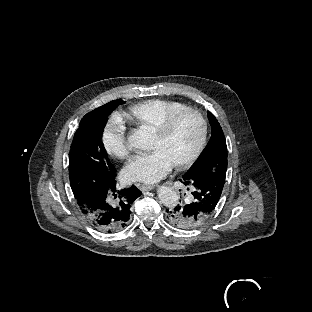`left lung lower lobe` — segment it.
<instances>
[{
    "mask_svg": "<svg viewBox=\"0 0 312 312\" xmlns=\"http://www.w3.org/2000/svg\"><path fill=\"white\" fill-rule=\"evenodd\" d=\"M226 173H217L194 180H186L184 185L192 184L194 201L177 206L169 213L175 224L187 227L207 222L213 215L225 183ZM189 190V189H188Z\"/></svg>",
    "mask_w": 312,
    "mask_h": 312,
    "instance_id": "1",
    "label": "left lung lower lobe"
}]
</instances>
